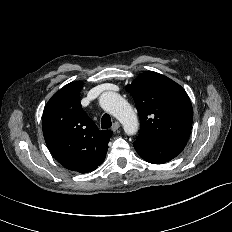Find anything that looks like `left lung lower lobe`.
<instances>
[{
    "label": "left lung lower lobe",
    "mask_w": 232,
    "mask_h": 232,
    "mask_svg": "<svg viewBox=\"0 0 232 232\" xmlns=\"http://www.w3.org/2000/svg\"><path fill=\"white\" fill-rule=\"evenodd\" d=\"M187 141L167 140L160 142L134 141L137 153L147 162L154 164L166 163L178 156L184 149Z\"/></svg>",
    "instance_id": "1"
}]
</instances>
